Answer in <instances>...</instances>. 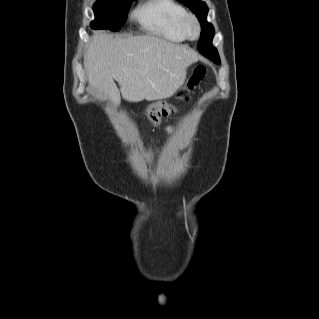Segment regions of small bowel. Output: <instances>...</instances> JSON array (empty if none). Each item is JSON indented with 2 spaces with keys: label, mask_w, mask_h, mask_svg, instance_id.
Listing matches in <instances>:
<instances>
[{
  "label": "small bowel",
  "mask_w": 319,
  "mask_h": 319,
  "mask_svg": "<svg viewBox=\"0 0 319 319\" xmlns=\"http://www.w3.org/2000/svg\"><path fill=\"white\" fill-rule=\"evenodd\" d=\"M167 132H168L169 134L171 133V131H170V130H168Z\"/></svg>",
  "instance_id": "small-bowel-1"
}]
</instances>
